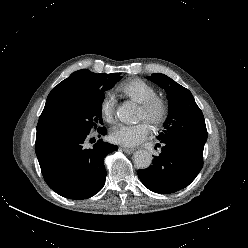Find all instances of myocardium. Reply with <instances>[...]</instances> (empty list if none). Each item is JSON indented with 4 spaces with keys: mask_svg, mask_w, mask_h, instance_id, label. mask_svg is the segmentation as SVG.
<instances>
[{
    "mask_svg": "<svg viewBox=\"0 0 248 248\" xmlns=\"http://www.w3.org/2000/svg\"><path fill=\"white\" fill-rule=\"evenodd\" d=\"M140 108L145 113L146 121L154 129L163 127L170 115L169 102L158 95L140 103Z\"/></svg>",
    "mask_w": 248,
    "mask_h": 248,
    "instance_id": "myocardium-1",
    "label": "myocardium"
}]
</instances>
